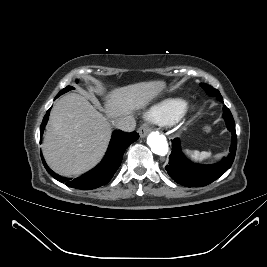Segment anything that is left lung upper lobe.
Here are the masks:
<instances>
[{
    "label": "left lung upper lobe",
    "mask_w": 267,
    "mask_h": 267,
    "mask_svg": "<svg viewBox=\"0 0 267 267\" xmlns=\"http://www.w3.org/2000/svg\"><path fill=\"white\" fill-rule=\"evenodd\" d=\"M201 85V87L204 89V87L206 86L205 84H200ZM211 87V86H210ZM212 89H211V94H208V95H210V96H215L219 101H221V102H223V100H222V96H221V94L219 93V91L218 90H216V89H214L213 87H211Z\"/></svg>",
    "instance_id": "left-lung-upper-lobe-1"
}]
</instances>
